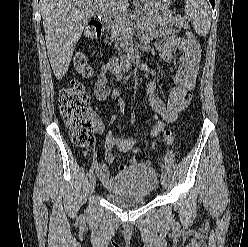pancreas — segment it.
<instances>
[{"mask_svg": "<svg viewBox=\"0 0 248 247\" xmlns=\"http://www.w3.org/2000/svg\"><path fill=\"white\" fill-rule=\"evenodd\" d=\"M133 12V16L137 18V25L145 29L154 30L159 26L165 25L176 26L178 28L188 27L187 22L179 16L163 17L154 10H147L144 8L136 9ZM108 26L111 29L110 39L116 42V49L120 50L118 47L120 46L124 50L129 42L128 33L133 26L130 15L122 14L113 16L112 19L108 21Z\"/></svg>", "mask_w": 248, "mask_h": 247, "instance_id": "1", "label": "pancreas"}]
</instances>
